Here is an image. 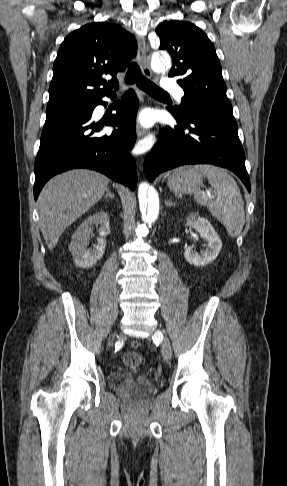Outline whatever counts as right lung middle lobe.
Instances as JSON below:
<instances>
[{
  "label": "right lung middle lobe",
  "instance_id": "1",
  "mask_svg": "<svg viewBox=\"0 0 287 486\" xmlns=\"http://www.w3.org/2000/svg\"><path fill=\"white\" fill-rule=\"evenodd\" d=\"M86 109L87 105H74L68 107L47 109L45 124L53 123L69 117L83 115Z\"/></svg>",
  "mask_w": 287,
  "mask_h": 486
}]
</instances>
